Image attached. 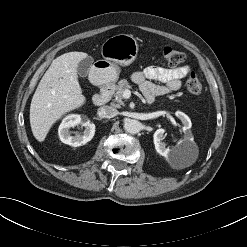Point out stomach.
<instances>
[{"mask_svg": "<svg viewBox=\"0 0 247 247\" xmlns=\"http://www.w3.org/2000/svg\"><path fill=\"white\" fill-rule=\"evenodd\" d=\"M139 45L136 38L129 34H118L108 38L102 45L103 60L94 66V77L99 83L115 82L119 66L130 65L137 57Z\"/></svg>", "mask_w": 247, "mask_h": 247, "instance_id": "0dacf381", "label": "stomach"}]
</instances>
